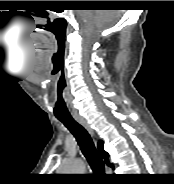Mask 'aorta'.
I'll use <instances>...</instances> for the list:
<instances>
[{
    "label": "aorta",
    "instance_id": "762f6f07",
    "mask_svg": "<svg viewBox=\"0 0 174 184\" xmlns=\"http://www.w3.org/2000/svg\"><path fill=\"white\" fill-rule=\"evenodd\" d=\"M85 171V166L82 162H75L67 170V174H82Z\"/></svg>",
    "mask_w": 174,
    "mask_h": 184
}]
</instances>
